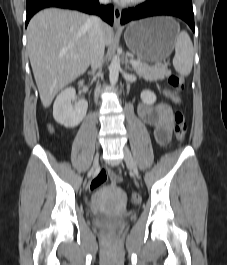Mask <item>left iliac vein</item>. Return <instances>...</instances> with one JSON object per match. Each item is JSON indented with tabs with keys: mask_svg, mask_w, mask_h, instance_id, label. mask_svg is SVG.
<instances>
[{
	"mask_svg": "<svg viewBox=\"0 0 227 265\" xmlns=\"http://www.w3.org/2000/svg\"><path fill=\"white\" fill-rule=\"evenodd\" d=\"M124 153V160L127 164V166L130 168V170L138 177V168L135 159L133 158L130 150L127 147H124L123 149Z\"/></svg>",
	"mask_w": 227,
	"mask_h": 265,
	"instance_id": "obj_1",
	"label": "left iliac vein"
}]
</instances>
